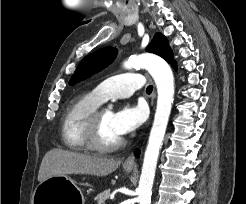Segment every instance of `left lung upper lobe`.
<instances>
[{"label": "left lung upper lobe", "instance_id": "obj_1", "mask_svg": "<svg viewBox=\"0 0 246 204\" xmlns=\"http://www.w3.org/2000/svg\"><path fill=\"white\" fill-rule=\"evenodd\" d=\"M149 52L155 53L165 59L168 63L173 64V53L169 47L167 38L161 34H155L151 44L146 49ZM117 55V49L113 47H105L86 56L78 65L72 75L69 84L74 85L92 74L100 71L108 66Z\"/></svg>", "mask_w": 246, "mask_h": 204}]
</instances>
